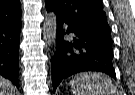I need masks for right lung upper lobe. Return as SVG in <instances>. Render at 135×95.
Wrapping results in <instances>:
<instances>
[{
	"label": "right lung upper lobe",
	"mask_w": 135,
	"mask_h": 95,
	"mask_svg": "<svg viewBox=\"0 0 135 95\" xmlns=\"http://www.w3.org/2000/svg\"><path fill=\"white\" fill-rule=\"evenodd\" d=\"M21 16L20 0H0V20Z\"/></svg>",
	"instance_id": "obj_1"
}]
</instances>
